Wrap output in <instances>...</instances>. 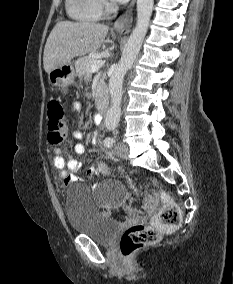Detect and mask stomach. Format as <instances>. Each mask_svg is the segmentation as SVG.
Masks as SVG:
<instances>
[{"instance_id":"stomach-1","label":"stomach","mask_w":233,"mask_h":284,"mask_svg":"<svg viewBox=\"0 0 233 284\" xmlns=\"http://www.w3.org/2000/svg\"><path fill=\"white\" fill-rule=\"evenodd\" d=\"M76 72L71 62L53 69L48 73L49 83L62 93L68 92V87L74 83Z\"/></svg>"}]
</instances>
